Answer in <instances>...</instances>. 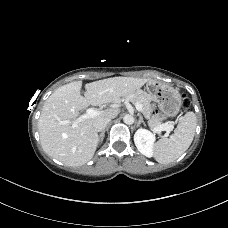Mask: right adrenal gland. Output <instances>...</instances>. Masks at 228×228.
<instances>
[{"label": "right adrenal gland", "mask_w": 228, "mask_h": 228, "mask_svg": "<svg viewBox=\"0 0 228 228\" xmlns=\"http://www.w3.org/2000/svg\"><path fill=\"white\" fill-rule=\"evenodd\" d=\"M104 136H105V130H103L100 135H99V142L102 143L103 139H104Z\"/></svg>", "instance_id": "1"}]
</instances>
